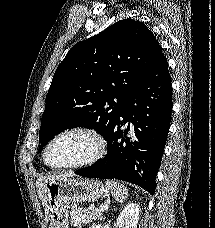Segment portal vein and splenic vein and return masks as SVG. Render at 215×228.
Returning <instances> with one entry per match:
<instances>
[{"label":"portal vein and splenic vein","instance_id":"1","mask_svg":"<svg viewBox=\"0 0 215 228\" xmlns=\"http://www.w3.org/2000/svg\"><path fill=\"white\" fill-rule=\"evenodd\" d=\"M99 208H101V210H108L109 206L108 204H104V206H99ZM90 210V208H89Z\"/></svg>","mask_w":215,"mask_h":228}]
</instances>
